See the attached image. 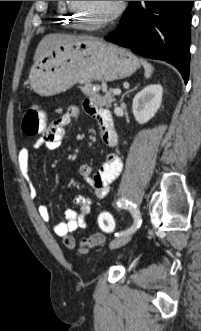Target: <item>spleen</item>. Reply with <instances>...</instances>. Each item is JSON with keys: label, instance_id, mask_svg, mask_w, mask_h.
I'll use <instances>...</instances> for the list:
<instances>
[{"label": "spleen", "instance_id": "obj_1", "mask_svg": "<svg viewBox=\"0 0 201 331\" xmlns=\"http://www.w3.org/2000/svg\"><path fill=\"white\" fill-rule=\"evenodd\" d=\"M141 63L145 70V72H144L145 78H150V76L152 75L153 70H154L153 66L144 59H141Z\"/></svg>", "mask_w": 201, "mask_h": 331}]
</instances>
